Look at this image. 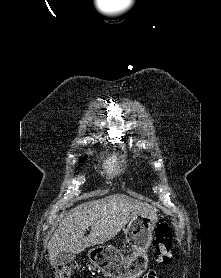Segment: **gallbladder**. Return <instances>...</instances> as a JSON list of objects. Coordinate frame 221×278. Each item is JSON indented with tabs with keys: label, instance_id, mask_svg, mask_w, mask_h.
Returning <instances> with one entry per match:
<instances>
[{
	"label": "gallbladder",
	"instance_id": "gallbladder-1",
	"mask_svg": "<svg viewBox=\"0 0 221 278\" xmlns=\"http://www.w3.org/2000/svg\"><path fill=\"white\" fill-rule=\"evenodd\" d=\"M76 258V255L74 253L70 252H61L59 253L54 261V265L60 266V265H66L74 261Z\"/></svg>",
	"mask_w": 221,
	"mask_h": 278
}]
</instances>
